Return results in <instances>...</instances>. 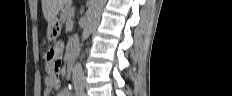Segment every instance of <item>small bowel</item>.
Returning a JSON list of instances; mask_svg holds the SVG:
<instances>
[{"mask_svg":"<svg viewBox=\"0 0 232 96\" xmlns=\"http://www.w3.org/2000/svg\"><path fill=\"white\" fill-rule=\"evenodd\" d=\"M70 35H77V30H70ZM45 84L47 87L45 94L50 95V87L55 84V79L53 77H47L45 80Z\"/></svg>","mask_w":232,"mask_h":96,"instance_id":"c3829d8e","label":"small bowel"}]
</instances>
